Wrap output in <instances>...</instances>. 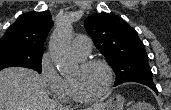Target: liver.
Returning <instances> with one entry per match:
<instances>
[{
    "label": "liver",
    "mask_w": 171,
    "mask_h": 110,
    "mask_svg": "<svg viewBox=\"0 0 171 110\" xmlns=\"http://www.w3.org/2000/svg\"><path fill=\"white\" fill-rule=\"evenodd\" d=\"M96 105L86 110L98 108ZM0 110H68L47 95L46 84L32 69L12 67L0 71Z\"/></svg>",
    "instance_id": "obj_1"
}]
</instances>
